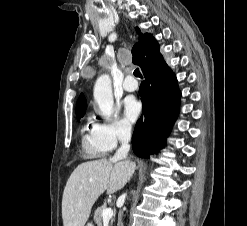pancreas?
<instances>
[{
  "instance_id": "1",
  "label": "pancreas",
  "mask_w": 247,
  "mask_h": 226,
  "mask_svg": "<svg viewBox=\"0 0 247 226\" xmlns=\"http://www.w3.org/2000/svg\"><path fill=\"white\" fill-rule=\"evenodd\" d=\"M106 208V204L98 207L94 212V222L97 226H102V211ZM113 223V219L111 220V226Z\"/></svg>"
}]
</instances>
